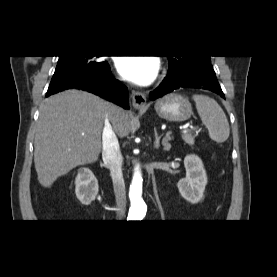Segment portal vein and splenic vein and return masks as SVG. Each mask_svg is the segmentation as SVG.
Returning a JSON list of instances; mask_svg holds the SVG:
<instances>
[{"label": "portal vein and splenic vein", "instance_id": "portal-vein-and-splenic-vein-1", "mask_svg": "<svg viewBox=\"0 0 277 277\" xmlns=\"http://www.w3.org/2000/svg\"><path fill=\"white\" fill-rule=\"evenodd\" d=\"M188 132V129H184L181 131L182 134H186Z\"/></svg>", "mask_w": 277, "mask_h": 277}]
</instances>
